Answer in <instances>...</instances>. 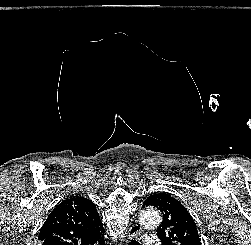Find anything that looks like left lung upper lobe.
I'll return each mask as SVG.
<instances>
[{
    "instance_id": "obj_1",
    "label": "left lung upper lobe",
    "mask_w": 251,
    "mask_h": 245,
    "mask_svg": "<svg viewBox=\"0 0 251 245\" xmlns=\"http://www.w3.org/2000/svg\"><path fill=\"white\" fill-rule=\"evenodd\" d=\"M157 207L163 214L161 225L155 231L162 245H201L196 224L187 209L166 193L150 195L142 207Z\"/></svg>"
}]
</instances>
